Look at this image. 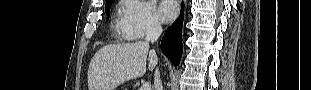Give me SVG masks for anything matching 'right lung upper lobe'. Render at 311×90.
<instances>
[{
  "instance_id": "cb5924a9",
  "label": "right lung upper lobe",
  "mask_w": 311,
  "mask_h": 90,
  "mask_svg": "<svg viewBox=\"0 0 311 90\" xmlns=\"http://www.w3.org/2000/svg\"><path fill=\"white\" fill-rule=\"evenodd\" d=\"M112 0H107V2L106 3H109V2H111Z\"/></svg>"
}]
</instances>
